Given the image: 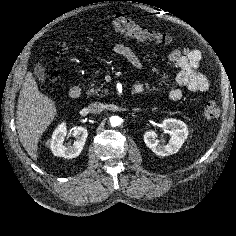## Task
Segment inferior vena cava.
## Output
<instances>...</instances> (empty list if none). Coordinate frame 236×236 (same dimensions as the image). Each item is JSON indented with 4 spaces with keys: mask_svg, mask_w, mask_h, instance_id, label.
Here are the masks:
<instances>
[{
    "mask_svg": "<svg viewBox=\"0 0 236 236\" xmlns=\"http://www.w3.org/2000/svg\"><path fill=\"white\" fill-rule=\"evenodd\" d=\"M103 108L104 106L100 102H93L87 107L88 111L93 114L101 113L103 111Z\"/></svg>",
    "mask_w": 236,
    "mask_h": 236,
    "instance_id": "602c4592",
    "label": "inferior vena cava"
}]
</instances>
